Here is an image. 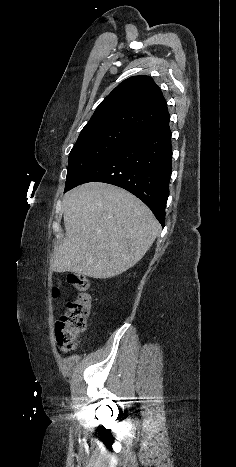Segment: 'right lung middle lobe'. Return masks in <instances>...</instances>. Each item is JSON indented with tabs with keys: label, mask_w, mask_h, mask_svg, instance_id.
Masks as SVG:
<instances>
[{
	"label": "right lung middle lobe",
	"mask_w": 236,
	"mask_h": 467,
	"mask_svg": "<svg viewBox=\"0 0 236 467\" xmlns=\"http://www.w3.org/2000/svg\"><path fill=\"white\" fill-rule=\"evenodd\" d=\"M138 133L136 130L117 125L82 130L69 154L65 188L94 163Z\"/></svg>",
	"instance_id": "obj_1"
}]
</instances>
